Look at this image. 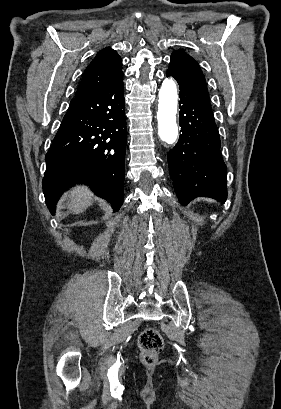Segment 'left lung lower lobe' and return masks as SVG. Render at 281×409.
I'll return each mask as SVG.
<instances>
[{
	"label": "left lung lower lobe",
	"mask_w": 281,
	"mask_h": 409,
	"mask_svg": "<svg viewBox=\"0 0 281 409\" xmlns=\"http://www.w3.org/2000/svg\"><path fill=\"white\" fill-rule=\"evenodd\" d=\"M166 75L172 76L169 72ZM179 86L182 133L167 154L175 192L184 206L199 196L225 202L226 165L210 101L184 84L179 83Z\"/></svg>",
	"instance_id": "obj_1"
}]
</instances>
